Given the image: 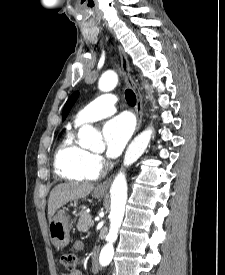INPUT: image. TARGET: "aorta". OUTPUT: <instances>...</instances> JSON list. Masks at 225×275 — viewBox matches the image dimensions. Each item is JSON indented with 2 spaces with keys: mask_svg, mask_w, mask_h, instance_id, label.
Returning <instances> with one entry per match:
<instances>
[{
  "mask_svg": "<svg viewBox=\"0 0 225 275\" xmlns=\"http://www.w3.org/2000/svg\"><path fill=\"white\" fill-rule=\"evenodd\" d=\"M118 82L117 74L110 70L106 71L100 78L98 87L103 92L113 90ZM152 130L146 129L140 133L129 145L123 164L130 166L136 162L146 150L151 140ZM78 138L80 145L84 148L95 150L103 144L102 136L91 125H83L79 132ZM111 211L109 214L110 228L106 236L107 243L101 250L99 263L101 266H107L112 261L114 255V242L118 237V232L122 224L127 201V181L125 174L120 171L115 177L111 189Z\"/></svg>",
  "mask_w": 225,
  "mask_h": 275,
  "instance_id": "aorta-1",
  "label": "aorta"
}]
</instances>
